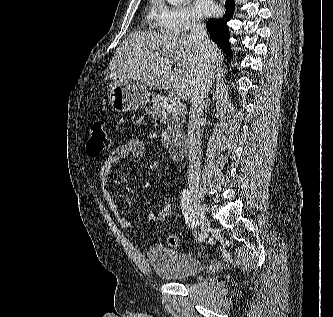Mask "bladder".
Returning a JSON list of instances; mask_svg holds the SVG:
<instances>
[{
    "label": "bladder",
    "mask_w": 333,
    "mask_h": 317,
    "mask_svg": "<svg viewBox=\"0 0 333 317\" xmlns=\"http://www.w3.org/2000/svg\"><path fill=\"white\" fill-rule=\"evenodd\" d=\"M146 255L155 274L163 280L191 279L202 269V263L198 257L162 245L150 247Z\"/></svg>",
    "instance_id": "1"
}]
</instances>
